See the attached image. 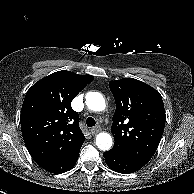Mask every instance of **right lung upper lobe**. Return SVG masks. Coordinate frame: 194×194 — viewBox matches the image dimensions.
<instances>
[{
	"label": "right lung upper lobe",
	"mask_w": 194,
	"mask_h": 194,
	"mask_svg": "<svg viewBox=\"0 0 194 194\" xmlns=\"http://www.w3.org/2000/svg\"><path fill=\"white\" fill-rule=\"evenodd\" d=\"M93 78L62 70L28 90L20 116L22 135L30 155L46 171L62 173L77 160L85 137L71 101Z\"/></svg>",
	"instance_id": "1"
}]
</instances>
